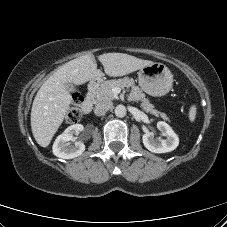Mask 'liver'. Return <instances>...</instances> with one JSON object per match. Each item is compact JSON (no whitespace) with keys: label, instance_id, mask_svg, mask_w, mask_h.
<instances>
[{"label":"liver","instance_id":"6515ba94","mask_svg":"<svg viewBox=\"0 0 227 227\" xmlns=\"http://www.w3.org/2000/svg\"><path fill=\"white\" fill-rule=\"evenodd\" d=\"M98 60L111 77L124 76L153 63L124 53H105ZM103 75L97 69L95 56L87 54L65 63L43 83L31 109L32 133L41 147L50 144L70 108L71 95L65 84L81 85Z\"/></svg>","mask_w":227,"mask_h":227}]
</instances>
